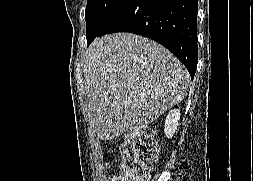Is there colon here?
I'll return each mask as SVG.
<instances>
[{
	"instance_id": "obj_1",
	"label": "colon",
	"mask_w": 253,
	"mask_h": 181,
	"mask_svg": "<svg viewBox=\"0 0 253 181\" xmlns=\"http://www.w3.org/2000/svg\"><path fill=\"white\" fill-rule=\"evenodd\" d=\"M123 165L119 181H147L158 157L153 131L141 128L128 134L123 145Z\"/></svg>"
}]
</instances>
